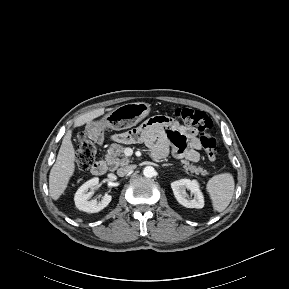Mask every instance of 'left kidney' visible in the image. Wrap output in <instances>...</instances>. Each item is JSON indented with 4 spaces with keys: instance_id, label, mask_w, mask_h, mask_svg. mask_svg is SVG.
<instances>
[{
    "instance_id": "1",
    "label": "left kidney",
    "mask_w": 289,
    "mask_h": 289,
    "mask_svg": "<svg viewBox=\"0 0 289 289\" xmlns=\"http://www.w3.org/2000/svg\"><path fill=\"white\" fill-rule=\"evenodd\" d=\"M174 196L177 201L187 208L201 209L204 207V197L196 180L181 179L171 183ZM186 190L190 191V198Z\"/></svg>"
}]
</instances>
